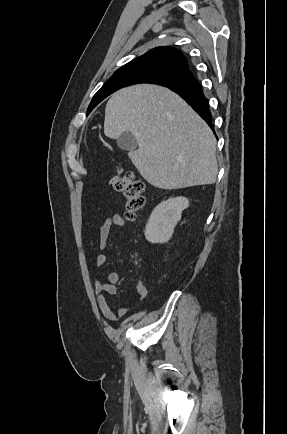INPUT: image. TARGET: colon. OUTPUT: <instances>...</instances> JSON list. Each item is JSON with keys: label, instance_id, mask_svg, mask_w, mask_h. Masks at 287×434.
<instances>
[{"label": "colon", "instance_id": "colon-1", "mask_svg": "<svg viewBox=\"0 0 287 434\" xmlns=\"http://www.w3.org/2000/svg\"><path fill=\"white\" fill-rule=\"evenodd\" d=\"M110 185L124 196L126 217L136 219L145 204L144 183L132 172L118 171L110 178Z\"/></svg>", "mask_w": 287, "mask_h": 434}]
</instances>
